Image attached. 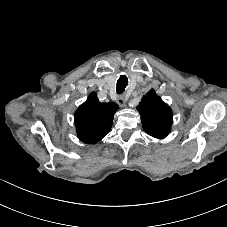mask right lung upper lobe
<instances>
[{
	"mask_svg": "<svg viewBox=\"0 0 227 227\" xmlns=\"http://www.w3.org/2000/svg\"><path fill=\"white\" fill-rule=\"evenodd\" d=\"M118 108L113 102H99L96 93H91L75 113L78 138L89 144L100 141L109 133Z\"/></svg>",
	"mask_w": 227,
	"mask_h": 227,
	"instance_id": "right-lung-upper-lobe-1",
	"label": "right lung upper lobe"
}]
</instances>
